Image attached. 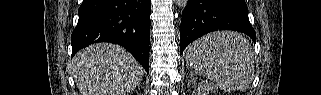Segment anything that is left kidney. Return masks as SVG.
Instances as JSON below:
<instances>
[{"label":"left kidney","instance_id":"obj_1","mask_svg":"<svg viewBox=\"0 0 321 95\" xmlns=\"http://www.w3.org/2000/svg\"><path fill=\"white\" fill-rule=\"evenodd\" d=\"M209 91H210V88H202V90L198 91V95H206V93Z\"/></svg>","mask_w":321,"mask_h":95}]
</instances>
